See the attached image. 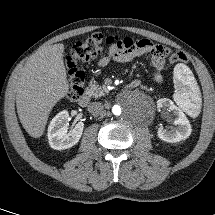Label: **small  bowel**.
I'll return each instance as SVG.
<instances>
[{"instance_id": "obj_1", "label": "small bowel", "mask_w": 215, "mask_h": 215, "mask_svg": "<svg viewBox=\"0 0 215 215\" xmlns=\"http://www.w3.org/2000/svg\"><path fill=\"white\" fill-rule=\"evenodd\" d=\"M108 50L106 55L97 61L99 68L106 67L110 62L126 63L142 55H150L154 67L152 79L156 83L164 80L162 71L165 66V53L162 46L156 45L148 39L133 40L132 38H119L110 36L107 38Z\"/></svg>"}]
</instances>
